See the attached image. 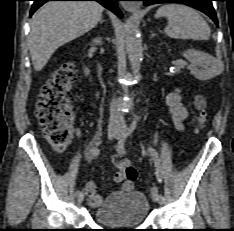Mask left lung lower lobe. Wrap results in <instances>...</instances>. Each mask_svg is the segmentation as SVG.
I'll use <instances>...</instances> for the list:
<instances>
[{
    "instance_id": "0a47b994",
    "label": "left lung lower lobe",
    "mask_w": 234,
    "mask_h": 231,
    "mask_svg": "<svg viewBox=\"0 0 234 231\" xmlns=\"http://www.w3.org/2000/svg\"><path fill=\"white\" fill-rule=\"evenodd\" d=\"M140 1H144V5H152L156 3H183L204 12L218 26L216 13L212 6L213 0H140Z\"/></svg>"
}]
</instances>
